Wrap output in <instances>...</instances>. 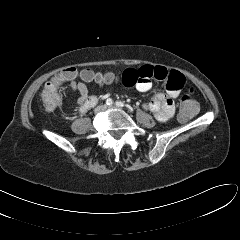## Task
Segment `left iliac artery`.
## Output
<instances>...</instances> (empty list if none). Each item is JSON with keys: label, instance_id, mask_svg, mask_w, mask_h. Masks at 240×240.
<instances>
[{"label": "left iliac artery", "instance_id": "left-iliac-artery-1", "mask_svg": "<svg viewBox=\"0 0 240 240\" xmlns=\"http://www.w3.org/2000/svg\"><path fill=\"white\" fill-rule=\"evenodd\" d=\"M115 104L117 107H125L126 106V104L122 101H117Z\"/></svg>", "mask_w": 240, "mask_h": 240}]
</instances>
